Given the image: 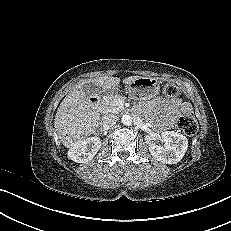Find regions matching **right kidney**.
<instances>
[{"label":"right kidney","instance_id":"ca27d5eb","mask_svg":"<svg viewBox=\"0 0 231 231\" xmlns=\"http://www.w3.org/2000/svg\"><path fill=\"white\" fill-rule=\"evenodd\" d=\"M101 147L99 137H87L69 148L68 157L77 163H86L93 159Z\"/></svg>","mask_w":231,"mask_h":231}]
</instances>
